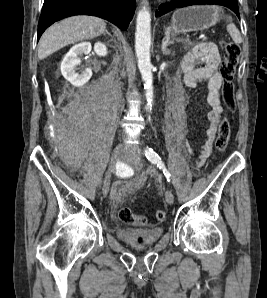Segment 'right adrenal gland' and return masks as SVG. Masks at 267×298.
<instances>
[{"mask_svg":"<svg viewBox=\"0 0 267 298\" xmlns=\"http://www.w3.org/2000/svg\"><path fill=\"white\" fill-rule=\"evenodd\" d=\"M106 34L111 36V34L107 30H105V32H104V35H106Z\"/></svg>","mask_w":267,"mask_h":298,"instance_id":"obj_1","label":"right adrenal gland"}]
</instances>
